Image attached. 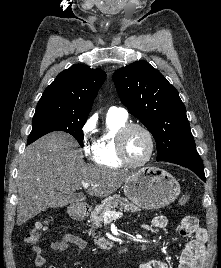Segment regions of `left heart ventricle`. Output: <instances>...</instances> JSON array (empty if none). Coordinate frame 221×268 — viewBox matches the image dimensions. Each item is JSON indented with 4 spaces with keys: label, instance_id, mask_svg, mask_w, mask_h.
I'll list each match as a JSON object with an SVG mask.
<instances>
[{
    "label": "left heart ventricle",
    "instance_id": "1",
    "mask_svg": "<svg viewBox=\"0 0 221 268\" xmlns=\"http://www.w3.org/2000/svg\"><path fill=\"white\" fill-rule=\"evenodd\" d=\"M125 149L127 157L131 162H141L149 151V139L147 135L139 129L131 130L125 139Z\"/></svg>",
    "mask_w": 221,
    "mask_h": 268
}]
</instances>
